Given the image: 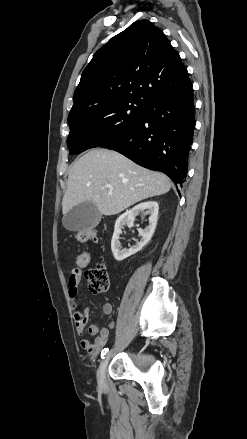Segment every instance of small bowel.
<instances>
[{"label": "small bowel", "mask_w": 247, "mask_h": 439, "mask_svg": "<svg viewBox=\"0 0 247 439\" xmlns=\"http://www.w3.org/2000/svg\"><path fill=\"white\" fill-rule=\"evenodd\" d=\"M82 271L80 268H74L71 270L68 279V294L71 300V305L74 314V322L76 330L79 335H83L88 325V309L81 307L78 303V290L81 281ZM102 311L105 315H110L113 312V306L111 303L106 302L102 306ZM113 327V322L110 323L108 328H101L97 324L90 325L88 332L90 335L95 336L94 341H90L84 337L80 341V346L87 351L90 355H98L102 347L105 345L110 329Z\"/></svg>", "instance_id": "1"}]
</instances>
